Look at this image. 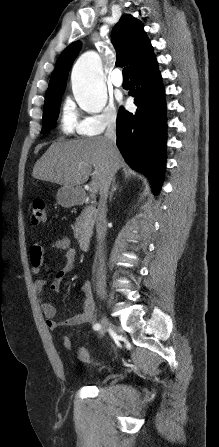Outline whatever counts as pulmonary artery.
<instances>
[{
  "instance_id": "1",
  "label": "pulmonary artery",
  "mask_w": 219,
  "mask_h": 447,
  "mask_svg": "<svg viewBox=\"0 0 219 447\" xmlns=\"http://www.w3.org/2000/svg\"><path fill=\"white\" fill-rule=\"evenodd\" d=\"M109 80L112 83V85H114L115 87H121L123 84V78H122L120 70L114 69L112 71V73L110 74Z\"/></svg>"
}]
</instances>
